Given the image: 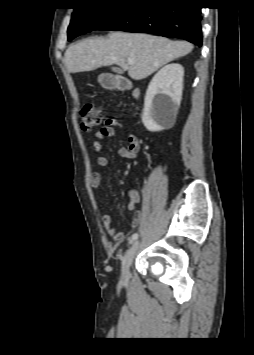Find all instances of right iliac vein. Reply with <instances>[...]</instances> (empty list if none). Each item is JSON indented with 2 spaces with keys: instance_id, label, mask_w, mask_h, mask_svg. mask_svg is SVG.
Listing matches in <instances>:
<instances>
[{
  "instance_id": "1",
  "label": "right iliac vein",
  "mask_w": 254,
  "mask_h": 355,
  "mask_svg": "<svg viewBox=\"0 0 254 355\" xmlns=\"http://www.w3.org/2000/svg\"><path fill=\"white\" fill-rule=\"evenodd\" d=\"M139 242L135 241L132 246L127 250L126 254L122 259L121 264V280L124 284H127L129 281V267L135 257V254L138 250Z\"/></svg>"
}]
</instances>
